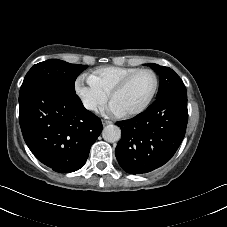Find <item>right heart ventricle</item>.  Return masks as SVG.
I'll list each match as a JSON object with an SVG mask.
<instances>
[{"label": "right heart ventricle", "instance_id": "e07e8e85", "mask_svg": "<svg viewBox=\"0 0 227 227\" xmlns=\"http://www.w3.org/2000/svg\"><path fill=\"white\" fill-rule=\"evenodd\" d=\"M140 69L137 67H102L93 72L89 78L103 90L110 93L118 83Z\"/></svg>", "mask_w": 227, "mask_h": 227}]
</instances>
